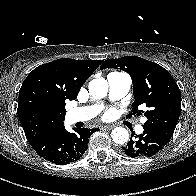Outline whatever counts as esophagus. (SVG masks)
<instances>
[{"mask_svg":"<svg viewBox=\"0 0 196 196\" xmlns=\"http://www.w3.org/2000/svg\"><path fill=\"white\" fill-rule=\"evenodd\" d=\"M114 126L113 125H105L102 128L106 129V130H111Z\"/></svg>","mask_w":196,"mask_h":196,"instance_id":"obj_1","label":"esophagus"}]
</instances>
